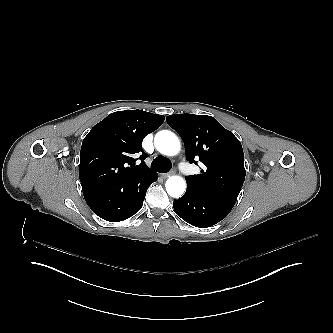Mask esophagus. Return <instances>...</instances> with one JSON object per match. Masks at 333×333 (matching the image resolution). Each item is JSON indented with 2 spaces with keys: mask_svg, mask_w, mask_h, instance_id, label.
I'll use <instances>...</instances> for the list:
<instances>
[{
  "mask_svg": "<svg viewBox=\"0 0 333 333\" xmlns=\"http://www.w3.org/2000/svg\"><path fill=\"white\" fill-rule=\"evenodd\" d=\"M174 172H175V171L172 170V171H170L169 173L162 174V177H163V178H168V177L171 176Z\"/></svg>",
  "mask_w": 333,
  "mask_h": 333,
  "instance_id": "1",
  "label": "esophagus"
}]
</instances>
